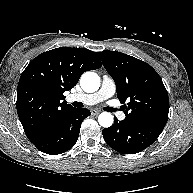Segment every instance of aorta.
<instances>
[{
	"label": "aorta",
	"instance_id": "762f6f07",
	"mask_svg": "<svg viewBox=\"0 0 193 193\" xmlns=\"http://www.w3.org/2000/svg\"><path fill=\"white\" fill-rule=\"evenodd\" d=\"M80 86L87 93H93L100 87V77L95 72H85L80 78ZM99 124L108 128L114 122L113 115L109 112H103L98 116Z\"/></svg>",
	"mask_w": 193,
	"mask_h": 193
}]
</instances>
